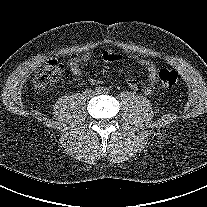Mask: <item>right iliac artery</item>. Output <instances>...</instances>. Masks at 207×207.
Returning <instances> with one entry per match:
<instances>
[{"label": "right iliac artery", "mask_w": 207, "mask_h": 207, "mask_svg": "<svg viewBox=\"0 0 207 207\" xmlns=\"http://www.w3.org/2000/svg\"><path fill=\"white\" fill-rule=\"evenodd\" d=\"M95 90H96L97 93H101L103 91V88L102 87H97Z\"/></svg>", "instance_id": "1"}]
</instances>
